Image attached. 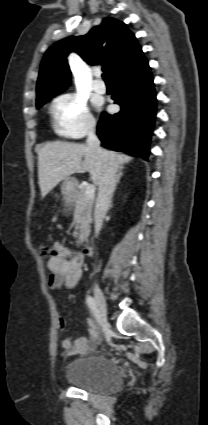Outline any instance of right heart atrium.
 <instances>
[{"label":"right heart atrium","mask_w":208,"mask_h":425,"mask_svg":"<svg viewBox=\"0 0 208 425\" xmlns=\"http://www.w3.org/2000/svg\"><path fill=\"white\" fill-rule=\"evenodd\" d=\"M56 129L64 136L81 138L94 131V119L84 99L73 93L58 96L51 107Z\"/></svg>","instance_id":"1"}]
</instances>
